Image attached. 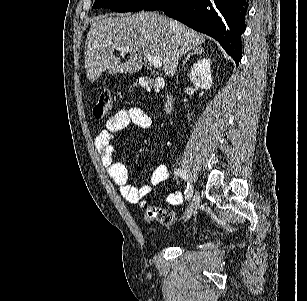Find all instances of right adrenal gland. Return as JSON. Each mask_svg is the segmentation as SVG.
<instances>
[{
	"label": "right adrenal gland",
	"mask_w": 307,
	"mask_h": 301,
	"mask_svg": "<svg viewBox=\"0 0 307 301\" xmlns=\"http://www.w3.org/2000/svg\"><path fill=\"white\" fill-rule=\"evenodd\" d=\"M204 52L203 46H197V48H193L192 52H189L188 56H186L185 60H183L182 68L185 66L187 60L191 58V56H194V54H202Z\"/></svg>",
	"instance_id": "2a0ac1e0"
}]
</instances>
